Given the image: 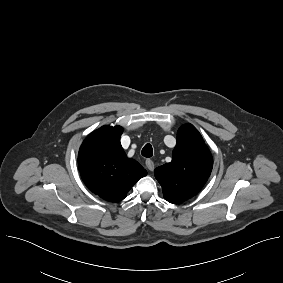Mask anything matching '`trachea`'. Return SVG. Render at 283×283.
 I'll use <instances>...</instances> for the list:
<instances>
[{
  "mask_svg": "<svg viewBox=\"0 0 283 283\" xmlns=\"http://www.w3.org/2000/svg\"><path fill=\"white\" fill-rule=\"evenodd\" d=\"M142 156L146 157V158H150L153 155V148L152 146L148 143L146 144L141 152Z\"/></svg>",
  "mask_w": 283,
  "mask_h": 283,
  "instance_id": "1",
  "label": "trachea"
}]
</instances>
